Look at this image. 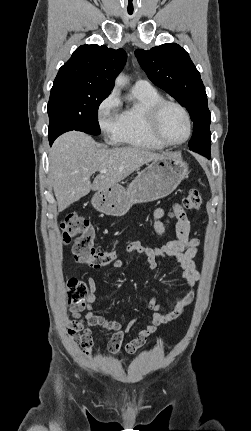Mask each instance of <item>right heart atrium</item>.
Returning <instances> with one entry per match:
<instances>
[{
	"label": "right heart atrium",
	"mask_w": 251,
	"mask_h": 431,
	"mask_svg": "<svg viewBox=\"0 0 251 431\" xmlns=\"http://www.w3.org/2000/svg\"><path fill=\"white\" fill-rule=\"evenodd\" d=\"M97 122L102 133L114 137L120 123V101L115 91H111L97 106Z\"/></svg>",
	"instance_id": "right-heart-atrium-1"
}]
</instances>
